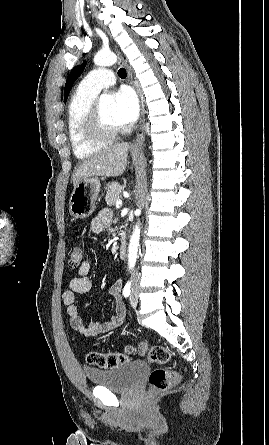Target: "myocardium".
I'll return each mask as SVG.
<instances>
[{"mask_svg": "<svg viewBox=\"0 0 269 445\" xmlns=\"http://www.w3.org/2000/svg\"><path fill=\"white\" fill-rule=\"evenodd\" d=\"M83 130L89 139L97 142L114 140L121 133L118 126L109 125L103 120L96 103L91 106L85 117Z\"/></svg>", "mask_w": 269, "mask_h": 445, "instance_id": "obj_1", "label": "myocardium"}]
</instances>
